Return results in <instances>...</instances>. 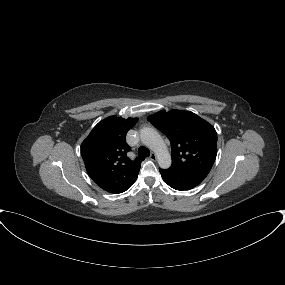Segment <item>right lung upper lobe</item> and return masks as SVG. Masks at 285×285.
I'll return each instance as SVG.
<instances>
[{"label":"right lung upper lobe","instance_id":"right-lung-upper-lobe-1","mask_svg":"<svg viewBox=\"0 0 285 285\" xmlns=\"http://www.w3.org/2000/svg\"><path fill=\"white\" fill-rule=\"evenodd\" d=\"M137 118L110 116L99 122L81 145V155L92 180L109 193L126 191L138 177L143 158L127 157V132Z\"/></svg>","mask_w":285,"mask_h":285}]
</instances>
